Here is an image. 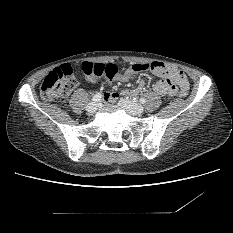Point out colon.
Masks as SVG:
<instances>
[{
	"label": "colon",
	"mask_w": 233,
	"mask_h": 233,
	"mask_svg": "<svg viewBox=\"0 0 233 233\" xmlns=\"http://www.w3.org/2000/svg\"><path fill=\"white\" fill-rule=\"evenodd\" d=\"M158 71L155 63H136L123 71L122 76L131 79L138 72ZM82 72L89 78L112 79L118 74L117 67L113 64H101L92 62L77 63L73 66L66 65L51 71L43 80L40 87V95L46 101L64 98L69 95L76 84L75 74ZM188 93V87L184 86L179 91L180 96Z\"/></svg>",
	"instance_id": "obj_1"
}]
</instances>
